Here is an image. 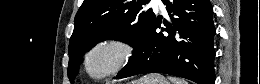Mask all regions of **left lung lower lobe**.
Segmentation results:
<instances>
[{
	"label": "left lung lower lobe",
	"mask_w": 260,
	"mask_h": 84,
	"mask_svg": "<svg viewBox=\"0 0 260 84\" xmlns=\"http://www.w3.org/2000/svg\"><path fill=\"white\" fill-rule=\"evenodd\" d=\"M170 16L153 20L140 56L116 79L141 73H166L198 84H214L213 8L209 0H162Z\"/></svg>",
	"instance_id": "0a47b994"
}]
</instances>
